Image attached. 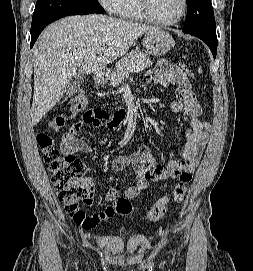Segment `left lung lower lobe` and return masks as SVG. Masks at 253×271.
<instances>
[{
	"label": "left lung lower lobe",
	"mask_w": 253,
	"mask_h": 271,
	"mask_svg": "<svg viewBox=\"0 0 253 271\" xmlns=\"http://www.w3.org/2000/svg\"><path fill=\"white\" fill-rule=\"evenodd\" d=\"M183 32L187 34H191L203 40L210 48L213 54V57L216 58V54H217L216 30H207V29H200V30H193V31L183 30Z\"/></svg>",
	"instance_id": "0a47b994"
}]
</instances>
